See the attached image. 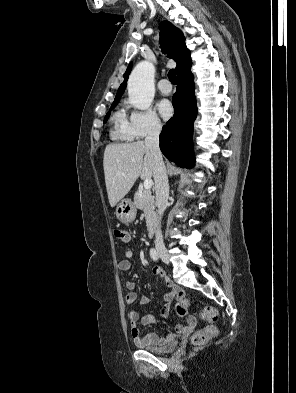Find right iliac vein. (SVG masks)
I'll return each instance as SVG.
<instances>
[{
	"label": "right iliac vein",
	"instance_id": "63e3f726",
	"mask_svg": "<svg viewBox=\"0 0 296 393\" xmlns=\"http://www.w3.org/2000/svg\"><path fill=\"white\" fill-rule=\"evenodd\" d=\"M157 252L159 254V256L161 257V259L165 262V263H169V254L168 251L165 247H158L157 248Z\"/></svg>",
	"mask_w": 296,
	"mask_h": 393
}]
</instances>
